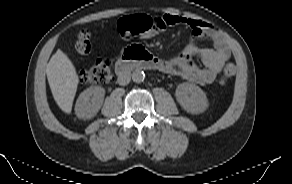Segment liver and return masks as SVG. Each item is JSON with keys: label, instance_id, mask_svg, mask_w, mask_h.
Here are the masks:
<instances>
[{"label": "liver", "instance_id": "liver-1", "mask_svg": "<svg viewBox=\"0 0 292 184\" xmlns=\"http://www.w3.org/2000/svg\"><path fill=\"white\" fill-rule=\"evenodd\" d=\"M46 74L54 100L62 111L69 114L79 83L73 63L59 49L47 64Z\"/></svg>", "mask_w": 292, "mask_h": 184}]
</instances>
